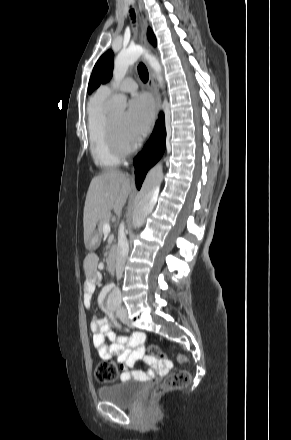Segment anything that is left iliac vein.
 I'll return each mask as SVG.
<instances>
[{"mask_svg": "<svg viewBox=\"0 0 291 440\" xmlns=\"http://www.w3.org/2000/svg\"><path fill=\"white\" fill-rule=\"evenodd\" d=\"M118 318L124 323L127 324L128 323V316H127V311L124 307H121L117 310L116 312Z\"/></svg>", "mask_w": 291, "mask_h": 440, "instance_id": "4c4485c4", "label": "left iliac vein"}]
</instances>
